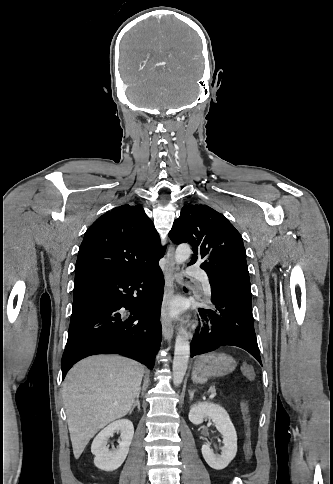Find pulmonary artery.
Listing matches in <instances>:
<instances>
[{
  "label": "pulmonary artery",
  "instance_id": "1",
  "mask_svg": "<svg viewBox=\"0 0 333 484\" xmlns=\"http://www.w3.org/2000/svg\"><path fill=\"white\" fill-rule=\"evenodd\" d=\"M189 274L197 277L200 280V282L203 286V289H204V291L207 295L211 294L210 280H209L208 276L203 271H201V270H199L195 267H191L189 269Z\"/></svg>",
  "mask_w": 333,
  "mask_h": 484
}]
</instances>
